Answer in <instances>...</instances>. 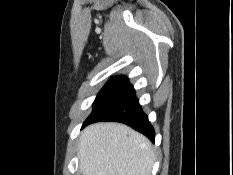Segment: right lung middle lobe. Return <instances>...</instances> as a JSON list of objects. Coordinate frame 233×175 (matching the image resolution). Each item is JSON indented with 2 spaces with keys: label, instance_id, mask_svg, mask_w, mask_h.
<instances>
[{
  "label": "right lung middle lobe",
  "instance_id": "right-lung-middle-lobe-1",
  "mask_svg": "<svg viewBox=\"0 0 233 175\" xmlns=\"http://www.w3.org/2000/svg\"><path fill=\"white\" fill-rule=\"evenodd\" d=\"M130 87L127 78L111 79L97 95L94 102V109L87 119L97 115Z\"/></svg>",
  "mask_w": 233,
  "mask_h": 175
}]
</instances>
